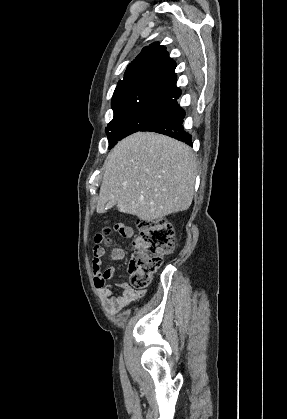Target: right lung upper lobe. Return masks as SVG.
<instances>
[{
	"label": "right lung upper lobe",
	"mask_w": 287,
	"mask_h": 419,
	"mask_svg": "<svg viewBox=\"0 0 287 419\" xmlns=\"http://www.w3.org/2000/svg\"><path fill=\"white\" fill-rule=\"evenodd\" d=\"M176 63L164 46L153 43L127 66L112 98L118 112L134 106H167L177 103L181 90L176 86Z\"/></svg>",
	"instance_id": "right-lung-upper-lobe-1"
}]
</instances>
